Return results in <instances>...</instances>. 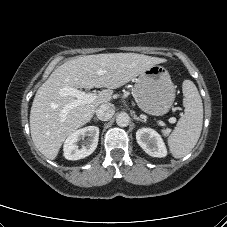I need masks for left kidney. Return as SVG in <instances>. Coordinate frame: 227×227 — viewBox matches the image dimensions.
<instances>
[{
	"instance_id": "obj_1",
	"label": "left kidney",
	"mask_w": 227,
	"mask_h": 227,
	"mask_svg": "<svg viewBox=\"0 0 227 227\" xmlns=\"http://www.w3.org/2000/svg\"><path fill=\"white\" fill-rule=\"evenodd\" d=\"M136 140L140 147L150 156L165 157L166 145L161 135L151 128H142L136 132Z\"/></svg>"
}]
</instances>
